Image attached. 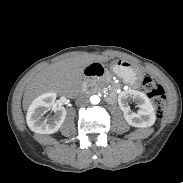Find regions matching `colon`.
<instances>
[{
	"label": "colon",
	"instance_id": "colon-1",
	"mask_svg": "<svg viewBox=\"0 0 183 183\" xmlns=\"http://www.w3.org/2000/svg\"><path fill=\"white\" fill-rule=\"evenodd\" d=\"M142 89L152 100L158 116L162 117L166 106V94L164 88L153 79L147 77L143 80Z\"/></svg>",
	"mask_w": 183,
	"mask_h": 183
}]
</instances>
